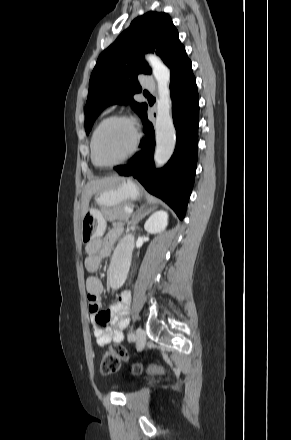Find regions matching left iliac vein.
Returning a JSON list of instances; mask_svg holds the SVG:
<instances>
[{"label":"left iliac vein","mask_w":291,"mask_h":440,"mask_svg":"<svg viewBox=\"0 0 291 440\" xmlns=\"http://www.w3.org/2000/svg\"><path fill=\"white\" fill-rule=\"evenodd\" d=\"M146 343V335L142 328L136 329V344L138 350H142Z\"/></svg>","instance_id":"left-iliac-vein-1"}]
</instances>
